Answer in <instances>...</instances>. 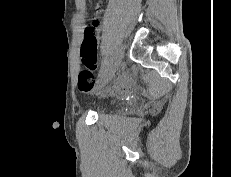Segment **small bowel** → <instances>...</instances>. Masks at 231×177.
I'll return each instance as SVG.
<instances>
[{
    "instance_id": "small-bowel-1",
    "label": "small bowel",
    "mask_w": 231,
    "mask_h": 177,
    "mask_svg": "<svg viewBox=\"0 0 231 177\" xmlns=\"http://www.w3.org/2000/svg\"><path fill=\"white\" fill-rule=\"evenodd\" d=\"M92 28H94L95 30V33L97 35V38H98V33L100 32L101 30V27H102V20H101V17L99 15H96L93 19H92V23L90 25ZM89 26H85L83 28L84 30V33L86 31V29L88 28ZM125 89L124 85L122 84H118L116 86H114L113 90L116 91V92H119V91H123Z\"/></svg>"
}]
</instances>
